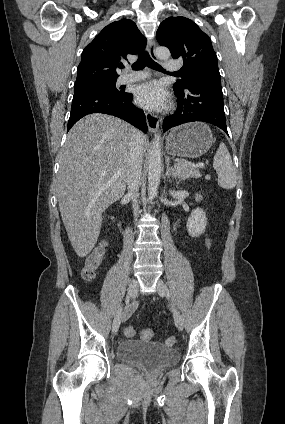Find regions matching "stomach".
I'll use <instances>...</instances> for the list:
<instances>
[{
    "label": "stomach",
    "mask_w": 285,
    "mask_h": 424,
    "mask_svg": "<svg viewBox=\"0 0 285 424\" xmlns=\"http://www.w3.org/2000/svg\"><path fill=\"white\" fill-rule=\"evenodd\" d=\"M213 144L210 128L200 122L174 128L166 138L167 153L185 158H197L205 154Z\"/></svg>",
    "instance_id": "1"
}]
</instances>
